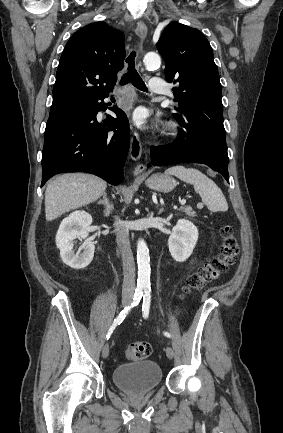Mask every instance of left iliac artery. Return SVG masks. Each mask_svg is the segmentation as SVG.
I'll list each match as a JSON object with an SVG mask.
<instances>
[{"label": "left iliac artery", "instance_id": "1", "mask_svg": "<svg viewBox=\"0 0 283 433\" xmlns=\"http://www.w3.org/2000/svg\"><path fill=\"white\" fill-rule=\"evenodd\" d=\"M151 289L149 287H146L144 290V296H143V304H142V311H143V317L148 318L149 310H150V302H151ZM164 335L168 338L171 337V334L169 332H164Z\"/></svg>", "mask_w": 283, "mask_h": 433}]
</instances>
